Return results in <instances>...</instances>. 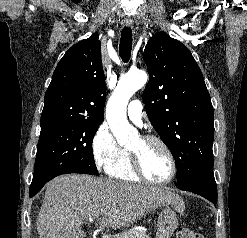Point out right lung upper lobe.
<instances>
[{
	"mask_svg": "<svg viewBox=\"0 0 247 238\" xmlns=\"http://www.w3.org/2000/svg\"><path fill=\"white\" fill-rule=\"evenodd\" d=\"M99 35L73 45L57 64L46 91L41 127L104 118L106 84Z\"/></svg>",
	"mask_w": 247,
	"mask_h": 238,
	"instance_id": "cb5924a9",
	"label": "right lung upper lobe"
}]
</instances>
